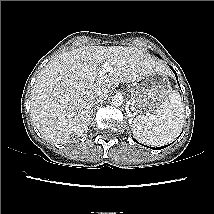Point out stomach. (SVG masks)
Instances as JSON below:
<instances>
[{
    "label": "stomach",
    "mask_w": 214,
    "mask_h": 214,
    "mask_svg": "<svg viewBox=\"0 0 214 214\" xmlns=\"http://www.w3.org/2000/svg\"><path fill=\"white\" fill-rule=\"evenodd\" d=\"M171 92V85L165 70L147 74L129 86L130 116L155 112Z\"/></svg>",
    "instance_id": "obj_1"
}]
</instances>
